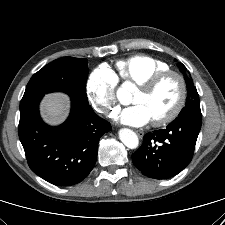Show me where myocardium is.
<instances>
[{"label": "myocardium", "instance_id": "1", "mask_svg": "<svg viewBox=\"0 0 225 225\" xmlns=\"http://www.w3.org/2000/svg\"><path fill=\"white\" fill-rule=\"evenodd\" d=\"M173 77L176 79L179 87V93L177 100L174 104V106L162 117L158 119L152 120V125L155 127H160L163 125H166L173 121L182 111L185 100H186V94H187V87L184 77L174 71V70H166L162 71L160 73H157L155 75H152L148 77L147 79L143 80L139 84H137L138 88L145 91V92H152L155 90L165 79Z\"/></svg>", "mask_w": 225, "mask_h": 225}]
</instances>
